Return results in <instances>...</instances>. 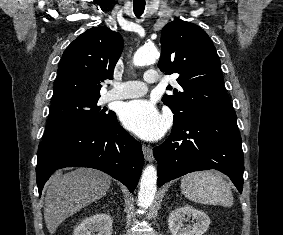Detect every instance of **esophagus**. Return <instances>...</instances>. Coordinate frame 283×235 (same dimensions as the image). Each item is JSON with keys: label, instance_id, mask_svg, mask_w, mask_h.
Wrapping results in <instances>:
<instances>
[{"label": "esophagus", "instance_id": "1", "mask_svg": "<svg viewBox=\"0 0 283 235\" xmlns=\"http://www.w3.org/2000/svg\"><path fill=\"white\" fill-rule=\"evenodd\" d=\"M143 155L146 161H153V150L150 146L142 145Z\"/></svg>", "mask_w": 283, "mask_h": 235}]
</instances>
